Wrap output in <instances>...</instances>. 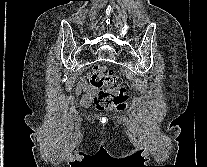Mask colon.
<instances>
[{
  "label": "colon",
  "mask_w": 207,
  "mask_h": 167,
  "mask_svg": "<svg viewBox=\"0 0 207 167\" xmlns=\"http://www.w3.org/2000/svg\"><path fill=\"white\" fill-rule=\"evenodd\" d=\"M91 84L100 89L95 98V104L98 109L106 106L124 107L127 96L122 81L118 76L109 72L103 65L95 67L91 76Z\"/></svg>",
  "instance_id": "colon-1"
}]
</instances>
